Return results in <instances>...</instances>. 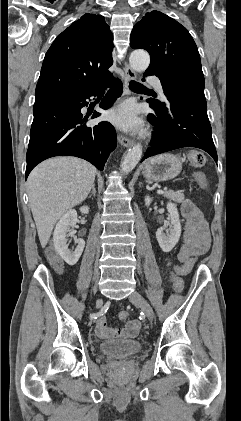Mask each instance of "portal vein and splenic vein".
<instances>
[{
	"mask_svg": "<svg viewBox=\"0 0 241 421\" xmlns=\"http://www.w3.org/2000/svg\"><path fill=\"white\" fill-rule=\"evenodd\" d=\"M157 192H158L159 194L164 193V191H163V190H158Z\"/></svg>",
	"mask_w": 241,
	"mask_h": 421,
	"instance_id": "1",
	"label": "portal vein and splenic vein"
}]
</instances>
